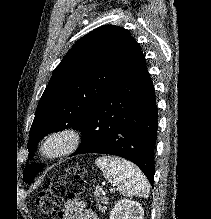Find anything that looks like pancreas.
<instances>
[{
    "label": "pancreas",
    "mask_w": 211,
    "mask_h": 219,
    "mask_svg": "<svg viewBox=\"0 0 211 219\" xmlns=\"http://www.w3.org/2000/svg\"><path fill=\"white\" fill-rule=\"evenodd\" d=\"M94 195L99 209L104 211L106 209L105 205L108 203L109 199L106 196H102L100 191H95Z\"/></svg>",
    "instance_id": "cf45deb5"
}]
</instances>
